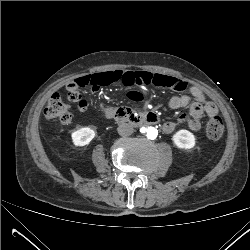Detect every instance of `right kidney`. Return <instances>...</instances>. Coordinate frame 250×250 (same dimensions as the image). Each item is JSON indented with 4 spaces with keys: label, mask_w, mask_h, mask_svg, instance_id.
Instances as JSON below:
<instances>
[{
    "label": "right kidney",
    "mask_w": 250,
    "mask_h": 250,
    "mask_svg": "<svg viewBox=\"0 0 250 250\" xmlns=\"http://www.w3.org/2000/svg\"><path fill=\"white\" fill-rule=\"evenodd\" d=\"M94 137V131L90 128L84 127L71 134L72 142L74 145L81 146L90 142Z\"/></svg>",
    "instance_id": "right-kidney-1"
}]
</instances>
